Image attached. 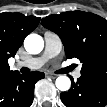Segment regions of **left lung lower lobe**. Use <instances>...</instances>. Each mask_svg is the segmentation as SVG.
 I'll return each instance as SVG.
<instances>
[{"instance_id":"left-lung-lower-lobe-1","label":"left lung lower lobe","mask_w":107,"mask_h":107,"mask_svg":"<svg viewBox=\"0 0 107 107\" xmlns=\"http://www.w3.org/2000/svg\"><path fill=\"white\" fill-rule=\"evenodd\" d=\"M68 92L60 97L66 107H105L107 106V82L81 76L73 82Z\"/></svg>"}]
</instances>
